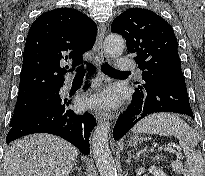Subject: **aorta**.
<instances>
[{
    "mask_svg": "<svg viewBox=\"0 0 205 176\" xmlns=\"http://www.w3.org/2000/svg\"><path fill=\"white\" fill-rule=\"evenodd\" d=\"M125 48V40L118 34H109L104 40V50L111 57L120 56ZM109 122L96 127L92 137V152L101 176H117L115 163L109 148Z\"/></svg>",
    "mask_w": 205,
    "mask_h": 176,
    "instance_id": "aorta-1",
    "label": "aorta"
}]
</instances>
